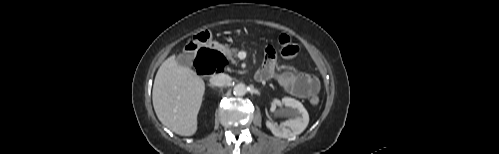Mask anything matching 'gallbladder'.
<instances>
[{"instance_id":"1","label":"gallbladder","mask_w":499,"mask_h":154,"mask_svg":"<svg viewBox=\"0 0 499 154\" xmlns=\"http://www.w3.org/2000/svg\"><path fill=\"white\" fill-rule=\"evenodd\" d=\"M176 61L182 66L190 67L192 66V55L181 53L176 57Z\"/></svg>"}]
</instances>
